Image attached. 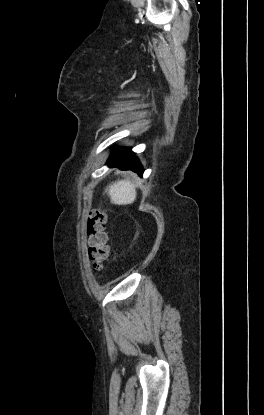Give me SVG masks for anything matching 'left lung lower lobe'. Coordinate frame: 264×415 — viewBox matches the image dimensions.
Instances as JSON below:
<instances>
[{
	"label": "left lung lower lobe",
	"instance_id": "left-lung-lower-lobe-1",
	"mask_svg": "<svg viewBox=\"0 0 264 415\" xmlns=\"http://www.w3.org/2000/svg\"><path fill=\"white\" fill-rule=\"evenodd\" d=\"M107 164L111 167H119L121 170H133L137 172L139 176H142L144 171L130 148H120L115 150L108 159Z\"/></svg>",
	"mask_w": 264,
	"mask_h": 415
}]
</instances>
